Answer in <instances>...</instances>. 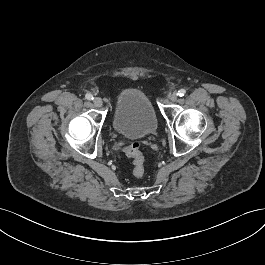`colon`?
Here are the masks:
<instances>
[{
	"label": "colon",
	"instance_id": "1",
	"mask_svg": "<svg viewBox=\"0 0 265 265\" xmlns=\"http://www.w3.org/2000/svg\"><path fill=\"white\" fill-rule=\"evenodd\" d=\"M125 154L132 160V174L140 178L145 174V157L139 143H132L124 148Z\"/></svg>",
	"mask_w": 265,
	"mask_h": 265
}]
</instances>
